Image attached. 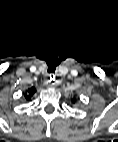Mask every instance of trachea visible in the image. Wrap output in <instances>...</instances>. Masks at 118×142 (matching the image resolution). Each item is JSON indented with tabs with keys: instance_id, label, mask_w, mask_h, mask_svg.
<instances>
[{
	"instance_id": "1",
	"label": "trachea",
	"mask_w": 118,
	"mask_h": 142,
	"mask_svg": "<svg viewBox=\"0 0 118 142\" xmlns=\"http://www.w3.org/2000/svg\"><path fill=\"white\" fill-rule=\"evenodd\" d=\"M56 66H57V64H55V63L48 64V70H47V72L48 73H54L55 70H56ZM51 77L53 78L52 74H51Z\"/></svg>"
}]
</instances>
